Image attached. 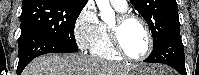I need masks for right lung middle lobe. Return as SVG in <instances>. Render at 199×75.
Listing matches in <instances>:
<instances>
[{"label": "right lung middle lobe", "mask_w": 199, "mask_h": 75, "mask_svg": "<svg viewBox=\"0 0 199 75\" xmlns=\"http://www.w3.org/2000/svg\"><path fill=\"white\" fill-rule=\"evenodd\" d=\"M84 6L59 1L43 5L23 4L18 42L40 35L77 47L74 26Z\"/></svg>", "instance_id": "right-lung-middle-lobe-1"}]
</instances>
